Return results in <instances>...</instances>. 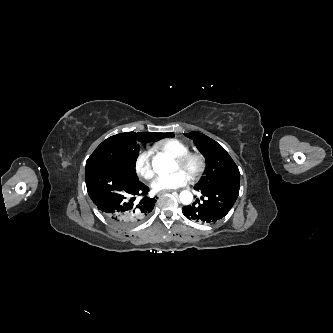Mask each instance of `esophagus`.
Returning <instances> with one entry per match:
<instances>
[{
    "mask_svg": "<svg viewBox=\"0 0 333 333\" xmlns=\"http://www.w3.org/2000/svg\"><path fill=\"white\" fill-rule=\"evenodd\" d=\"M172 191H173V190H165V191L160 192L159 195L162 194V193L172 192Z\"/></svg>",
    "mask_w": 333,
    "mask_h": 333,
    "instance_id": "1",
    "label": "esophagus"
}]
</instances>
